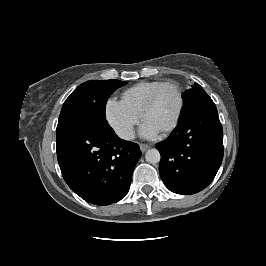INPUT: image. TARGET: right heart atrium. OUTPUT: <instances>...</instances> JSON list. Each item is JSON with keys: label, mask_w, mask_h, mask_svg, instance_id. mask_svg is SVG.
I'll return each instance as SVG.
<instances>
[{"label": "right heart atrium", "mask_w": 266, "mask_h": 266, "mask_svg": "<svg viewBox=\"0 0 266 266\" xmlns=\"http://www.w3.org/2000/svg\"><path fill=\"white\" fill-rule=\"evenodd\" d=\"M104 113L106 121L120 138L130 140L133 137L140 114L132 110L123 100L114 97L107 99Z\"/></svg>", "instance_id": "1"}]
</instances>
